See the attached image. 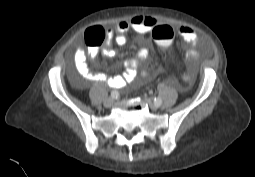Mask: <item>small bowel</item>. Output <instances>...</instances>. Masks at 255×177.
<instances>
[{"label":"small bowel","mask_w":255,"mask_h":177,"mask_svg":"<svg viewBox=\"0 0 255 177\" xmlns=\"http://www.w3.org/2000/svg\"><path fill=\"white\" fill-rule=\"evenodd\" d=\"M158 21L149 16H135L130 20L120 21L117 26V34H114L111 29L106 30V45L102 50V55L105 58L114 56V49L112 42L122 46L127 42V34L134 31L139 34L150 32L158 25ZM177 34L186 41L191 50L188 52L187 57L193 58L195 56L194 48L198 43V36L190 27L178 26L176 28ZM152 51V45L149 42H144L139 48L135 58L125 61V71L122 74L115 76H107L102 72H94L91 70L87 63L88 57L95 58L98 54L97 48H91L85 51L78 48L73 55V62L77 73L86 81L105 83L114 88H122L127 85L138 86L145 82L151 73L148 70H139L140 62L147 59Z\"/></svg>","instance_id":"1"}]
</instances>
